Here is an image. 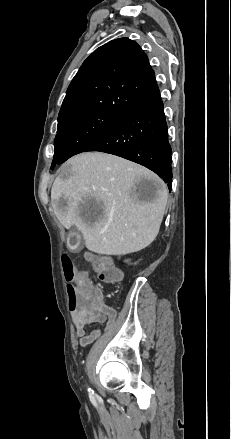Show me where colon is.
Segmentation results:
<instances>
[{
    "label": "colon",
    "instance_id": "colon-1",
    "mask_svg": "<svg viewBox=\"0 0 231 439\" xmlns=\"http://www.w3.org/2000/svg\"><path fill=\"white\" fill-rule=\"evenodd\" d=\"M88 260L91 262L93 269L98 274L101 281L106 283H114L120 280V271L112 265L110 260L104 256H99L95 254H88ZM63 271L68 282L67 290L69 297V312L78 313L79 309L82 308V301L84 299L83 294L75 293V286L72 284L73 281L77 283H82L89 290V302H85V307H90L97 301L98 292L100 289L93 287L89 280L88 274H76L75 267L69 256L64 255L62 257ZM91 303V304H90Z\"/></svg>",
    "mask_w": 231,
    "mask_h": 439
}]
</instances>
